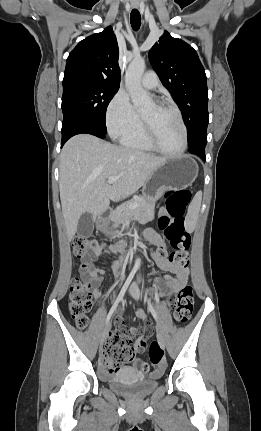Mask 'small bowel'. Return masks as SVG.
<instances>
[{"label": "small bowel", "instance_id": "c3829d8e", "mask_svg": "<svg viewBox=\"0 0 261 431\" xmlns=\"http://www.w3.org/2000/svg\"><path fill=\"white\" fill-rule=\"evenodd\" d=\"M144 239L157 245L160 249L166 251L167 245L164 239L160 234L153 230H148L144 234ZM105 251L103 245L99 246L95 251L94 255L99 256ZM152 259L156 263L157 267L164 272H169L173 274V276H168L165 279L156 278L152 281L153 289L156 295L159 296H171L175 292L179 291L188 281L189 277V269L187 267L177 266L172 263L167 256H162L158 252L152 254ZM82 276L88 280L92 285V295L95 299H105L106 295L103 294L100 288L101 277L105 274V270L101 268L92 267L90 264L81 268ZM164 304H168L167 301H164ZM117 318L123 317L122 311L116 312ZM137 317L144 321L146 316L143 312H138ZM125 334L136 336L137 339L133 346V357L129 361L131 364L134 360H138L135 358L136 353H141L145 350L147 345V337L149 336V330L147 327H138V328H128L125 329ZM103 357V352H102ZM140 361V360H139ZM141 363L143 361H140ZM146 374V373H141Z\"/></svg>", "mask_w": 261, "mask_h": 431}]
</instances>
